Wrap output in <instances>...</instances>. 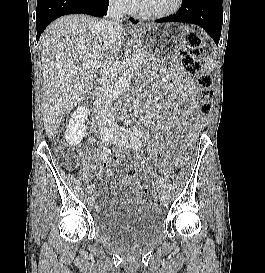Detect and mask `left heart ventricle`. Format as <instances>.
<instances>
[{"mask_svg": "<svg viewBox=\"0 0 265 273\" xmlns=\"http://www.w3.org/2000/svg\"><path fill=\"white\" fill-rule=\"evenodd\" d=\"M145 7L151 11L163 12L171 9L176 0H142Z\"/></svg>", "mask_w": 265, "mask_h": 273, "instance_id": "left-heart-ventricle-1", "label": "left heart ventricle"}]
</instances>
